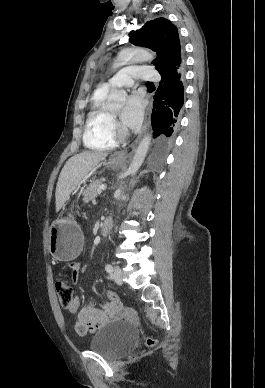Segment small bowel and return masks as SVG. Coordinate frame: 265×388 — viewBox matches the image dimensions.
I'll return each mask as SVG.
<instances>
[{"mask_svg":"<svg viewBox=\"0 0 265 388\" xmlns=\"http://www.w3.org/2000/svg\"><path fill=\"white\" fill-rule=\"evenodd\" d=\"M68 267L71 270L70 278L74 282L77 281L81 268L80 264L71 262L68 264ZM68 310L71 314L76 315L74 328L79 335L95 332L106 323L117 320L121 314V306L119 304L90 302L80 307L77 297L73 298Z\"/></svg>","mask_w":265,"mask_h":388,"instance_id":"obj_1","label":"small bowel"}]
</instances>
